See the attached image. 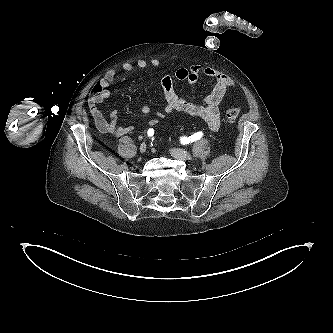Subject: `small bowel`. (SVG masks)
Masks as SVG:
<instances>
[{
  "instance_id": "c3829d8e",
  "label": "small bowel",
  "mask_w": 333,
  "mask_h": 333,
  "mask_svg": "<svg viewBox=\"0 0 333 333\" xmlns=\"http://www.w3.org/2000/svg\"><path fill=\"white\" fill-rule=\"evenodd\" d=\"M160 61L158 59H151L149 61L139 59L136 62H125L121 68L126 72H131L135 69H145L148 66L158 67ZM118 69H110L102 79L95 85L99 88L98 93H92L90 98L91 113L94 118L97 129L106 135L121 137L127 135L135 130L133 126H119L117 124V112L111 111L109 119H105L99 104L103 103L109 96V87L116 80ZM204 75L214 80L212 91L205 97L202 105H197L180 97L173 85L171 76L166 75L162 78L161 84L165 98V105L163 110L156 114V118L148 121L147 127L156 125L158 119L164 118L166 115L174 111L182 112L188 115L197 116L202 118L212 131H218L220 126V105L233 87V81L226 74L214 68H202L198 64L191 65L188 68L181 67L175 71L174 77L178 80L185 81L189 85H194L199 77ZM142 113L147 115L150 113L148 106L142 107Z\"/></svg>"
}]
</instances>
